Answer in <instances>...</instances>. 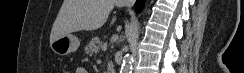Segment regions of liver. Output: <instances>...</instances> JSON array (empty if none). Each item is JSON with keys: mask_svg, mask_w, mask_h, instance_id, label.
<instances>
[{"mask_svg": "<svg viewBox=\"0 0 244 73\" xmlns=\"http://www.w3.org/2000/svg\"><path fill=\"white\" fill-rule=\"evenodd\" d=\"M119 0H64L50 34V44L64 35L77 31H93L104 25ZM116 21L113 18L112 24Z\"/></svg>", "mask_w": 244, "mask_h": 73, "instance_id": "obj_1", "label": "liver"}]
</instances>
